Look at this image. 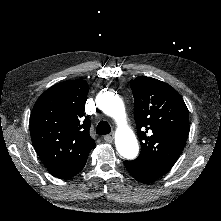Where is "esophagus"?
<instances>
[{"label": "esophagus", "mask_w": 221, "mask_h": 221, "mask_svg": "<svg viewBox=\"0 0 221 221\" xmlns=\"http://www.w3.org/2000/svg\"><path fill=\"white\" fill-rule=\"evenodd\" d=\"M104 140H105L107 143H112L113 140H114V133H111V134H109V135L104 136Z\"/></svg>", "instance_id": "34e87169"}]
</instances>
